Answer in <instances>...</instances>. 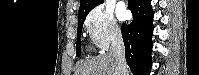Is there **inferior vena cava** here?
<instances>
[{
  "mask_svg": "<svg viewBox=\"0 0 199 75\" xmlns=\"http://www.w3.org/2000/svg\"><path fill=\"white\" fill-rule=\"evenodd\" d=\"M110 52L116 60L115 74L125 75L127 69V64L125 60V46L120 31H115L113 33Z\"/></svg>",
  "mask_w": 199,
  "mask_h": 75,
  "instance_id": "obj_1",
  "label": "inferior vena cava"
}]
</instances>
